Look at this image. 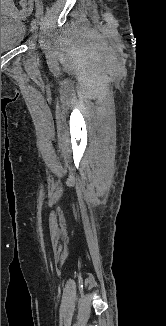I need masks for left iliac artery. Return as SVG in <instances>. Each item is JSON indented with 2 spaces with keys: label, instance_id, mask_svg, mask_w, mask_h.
<instances>
[{
  "label": "left iliac artery",
  "instance_id": "left-iliac-artery-1",
  "mask_svg": "<svg viewBox=\"0 0 166 326\" xmlns=\"http://www.w3.org/2000/svg\"><path fill=\"white\" fill-rule=\"evenodd\" d=\"M39 15H40V13H39V12H37V13H36V17H37V19L39 18Z\"/></svg>",
  "mask_w": 166,
  "mask_h": 326
}]
</instances>
